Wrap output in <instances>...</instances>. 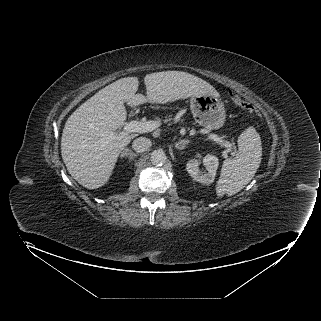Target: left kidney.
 I'll use <instances>...</instances> for the list:
<instances>
[{"label":"left kidney","instance_id":"5707ae66","mask_svg":"<svg viewBox=\"0 0 321 321\" xmlns=\"http://www.w3.org/2000/svg\"><path fill=\"white\" fill-rule=\"evenodd\" d=\"M202 162L207 170V173H204L199 169L201 162L197 159L188 161L186 165L187 172L194 180L203 184H210L215 179L216 171L219 166V160L215 155L208 154L203 158Z\"/></svg>","mask_w":321,"mask_h":321}]
</instances>
